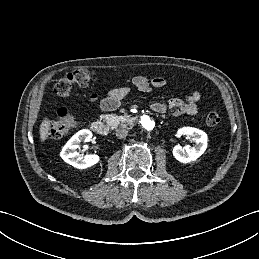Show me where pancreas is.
Returning a JSON list of instances; mask_svg holds the SVG:
<instances>
[{
  "instance_id": "1",
  "label": "pancreas",
  "mask_w": 259,
  "mask_h": 259,
  "mask_svg": "<svg viewBox=\"0 0 259 259\" xmlns=\"http://www.w3.org/2000/svg\"><path fill=\"white\" fill-rule=\"evenodd\" d=\"M112 129L116 128L121 123L131 124L132 118L129 116H118L115 114H106L101 117Z\"/></svg>"
}]
</instances>
